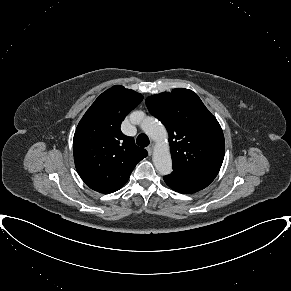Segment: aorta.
<instances>
[{"label":"aorta","instance_id":"aorta-1","mask_svg":"<svg viewBox=\"0 0 291 291\" xmlns=\"http://www.w3.org/2000/svg\"><path fill=\"white\" fill-rule=\"evenodd\" d=\"M132 120L138 123L142 130L157 143L152 157L157 171L162 175L170 174L172 172V159L165 126L154 117L145 116L141 111L134 112Z\"/></svg>","mask_w":291,"mask_h":291}]
</instances>
